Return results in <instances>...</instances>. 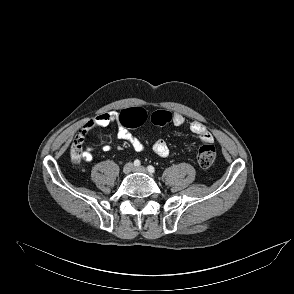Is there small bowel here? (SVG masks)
Segmentation results:
<instances>
[{
    "mask_svg": "<svg viewBox=\"0 0 294 294\" xmlns=\"http://www.w3.org/2000/svg\"><path fill=\"white\" fill-rule=\"evenodd\" d=\"M172 123L177 127L187 125V121L184 116L178 112L172 113ZM112 124H117V137L121 140L127 141L136 151H142L144 149V143L135 135H133L124 125L120 123L119 113L117 111H109L102 113L93 119L89 120L83 127L81 134L83 137L96 127H107ZM189 129L197 135L199 141L203 144H211L213 142V136L208 128L199 121H192L188 124ZM104 151H109L111 146L109 143L104 142L102 145ZM152 150L161 157H167L170 149L168 144L163 139H157L152 144ZM93 149L89 147L82 155L86 162H91L93 159Z\"/></svg>",
    "mask_w": 294,
    "mask_h": 294,
    "instance_id": "small-bowel-1",
    "label": "small bowel"
}]
</instances>
